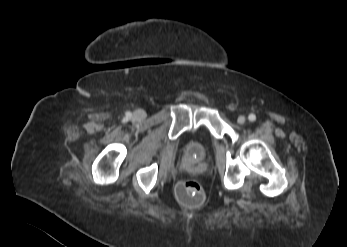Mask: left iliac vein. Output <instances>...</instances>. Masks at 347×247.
Wrapping results in <instances>:
<instances>
[{"mask_svg":"<svg viewBox=\"0 0 347 247\" xmlns=\"http://www.w3.org/2000/svg\"><path fill=\"white\" fill-rule=\"evenodd\" d=\"M245 121H246V118H245V116H243V115L239 116L238 119H237V122H238V124H240V125L244 124Z\"/></svg>","mask_w":347,"mask_h":247,"instance_id":"1","label":"left iliac vein"}]
</instances>
